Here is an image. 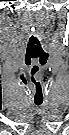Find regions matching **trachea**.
<instances>
[{
	"label": "trachea",
	"mask_w": 69,
	"mask_h": 135,
	"mask_svg": "<svg viewBox=\"0 0 69 135\" xmlns=\"http://www.w3.org/2000/svg\"><path fill=\"white\" fill-rule=\"evenodd\" d=\"M41 103H36V105H40Z\"/></svg>",
	"instance_id": "obj_1"
}]
</instances>
